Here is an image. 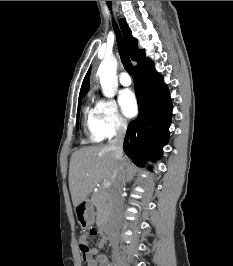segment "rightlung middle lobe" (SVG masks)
<instances>
[{"label":"right lung middle lobe","mask_w":233,"mask_h":266,"mask_svg":"<svg viewBox=\"0 0 233 266\" xmlns=\"http://www.w3.org/2000/svg\"><path fill=\"white\" fill-rule=\"evenodd\" d=\"M83 97L79 98V103H78V111H77V125H78V119H79V114H80V107H81V99ZM78 128V126H77Z\"/></svg>","instance_id":"1"}]
</instances>
